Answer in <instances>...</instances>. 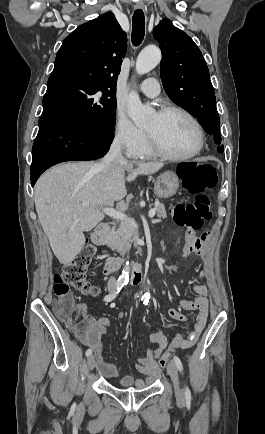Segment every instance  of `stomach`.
Wrapping results in <instances>:
<instances>
[{
  "label": "stomach",
  "instance_id": "0dacf381",
  "mask_svg": "<svg viewBox=\"0 0 265 434\" xmlns=\"http://www.w3.org/2000/svg\"><path fill=\"white\" fill-rule=\"evenodd\" d=\"M179 188V178L174 172H165L157 178L154 188L155 196L158 198H171Z\"/></svg>",
  "mask_w": 265,
  "mask_h": 434
}]
</instances>
